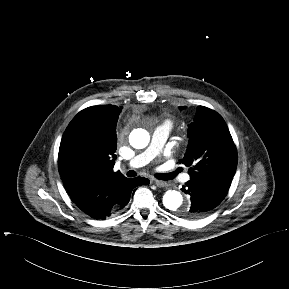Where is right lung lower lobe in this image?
Instances as JSON below:
<instances>
[{
	"label": "right lung lower lobe",
	"mask_w": 289,
	"mask_h": 289,
	"mask_svg": "<svg viewBox=\"0 0 289 289\" xmlns=\"http://www.w3.org/2000/svg\"><path fill=\"white\" fill-rule=\"evenodd\" d=\"M147 184H149V180L146 178L136 177V178L130 179L123 186L119 200L116 206L114 207L113 211L108 216H110L111 214L117 211H120L128 204L131 195H133L136 190L135 187L140 186V185H147ZM106 217L100 218V219H105Z\"/></svg>",
	"instance_id": "98d812e1"
}]
</instances>
